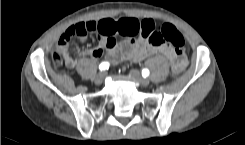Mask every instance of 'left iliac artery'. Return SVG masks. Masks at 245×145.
Returning a JSON list of instances; mask_svg holds the SVG:
<instances>
[{
  "label": "left iliac artery",
  "instance_id": "1",
  "mask_svg": "<svg viewBox=\"0 0 245 145\" xmlns=\"http://www.w3.org/2000/svg\"><path fill=\"white\" fill-rule=\"evenodd\" d=\"M149 73H150L149 70L146 68L142 70V76L145 78L149 76Z\"/></svg>",
  "mask_w": 245,
  "mask_h": 145
}]
</instances>
